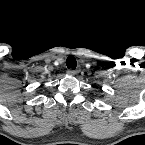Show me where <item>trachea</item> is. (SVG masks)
Listing matches in <instances>:
<instances>
[{
  "label": "trachea",
  "instance_id": "obj_1",
  "mask_svg": "<svg viewBox=\"0 0 145 145\" xmlns=\"http://www.w3.org/2000/svg\"><path fill=\"white\" fill-rule=\"evenodd\" d=\"M66 65L69 69H76V66H77V61L75 59L74 56H69L67 59H66Z\"/></svg>",
  "mask_w": 145,
  "mask_h": 145
}]
</instances>
